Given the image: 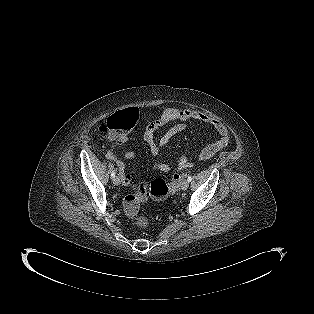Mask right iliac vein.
Returning <instances> with one entry per match:
<instances>
[{"label":"right iliac vein","instance_id":"right-iliac-vein-1","mask_svg":"<svg viewBox=\"0 0 314 314\" xmlns=\"http://www.w3.org/2000/svg\"><path fill=\"white\" fill-rule=\"evenodd\" d=\"M113 183H114L115 185H119V184L121 183L120 177H118V176L114 177V178H113Z\"/></svg>","mask_w":314,"mask_h":314}]
</instances>
